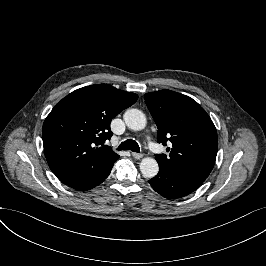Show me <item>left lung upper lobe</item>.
<instances>
[{
    "label": "left lung upper lobe",
    "mask_w": 266,
    "mask_h": 266,
    "mask_svg": "<svg viewBox=\"0 0 266 266\" xmlns=\"http://www.w3.org/2000/svg\"><path fill=\"white\" fill-rule=\"evenodd\" d=\"M158 127L157 141L166 145L169 156L155 155L158 164L203 182L216 160V128L205 110L183 94L160 90L144 95Z\"/></svg>",
    "instance_id": "obj_1"
}]
</instances>
